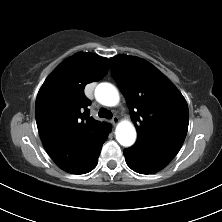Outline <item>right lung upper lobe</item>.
I'll return each instance as SVG.
<instances>
[{"label": "right lung upper lobe", "instance_id": "cb5924a9", "mask_svg": "<svg viewBox=\"0 0 222 222\" xmlns=\"http://www.w3.org/2000/svg\"><path fill=\"white\" fill-rule=\"evenodd\" d=\"M108 68L107 58L76 53L54 69L38 92V131L47 153L60 168L86 160L111 129L89 117L90 101L84 95L85 86L102 79Z\"/></svg>", "mask_w": 222, "mask_h": 222}]
</instances>
